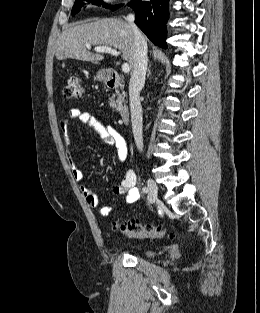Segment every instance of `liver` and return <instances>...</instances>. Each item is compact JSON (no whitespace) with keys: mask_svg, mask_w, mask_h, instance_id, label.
Here are the masks:
<instances>
[{"mask_svg":"<svg viewBox=\"0 0 260 313\" xmlns=\"http://www.w3.org/2000/svg\"><path fill=\"white\" fill-rule=\"evenodd\" d=\"M86 44L119 49L122 52V59L126 60L133 69L134 34L128 22L119 18H103L81 22L64 30L57 43L56 59L73 58L95 64L100 63L104 56L90 52Z\"/></svg>","mask_w":260,"mask_h":313,"instance_id":"obj_1","label":"liver"}]
</instances>
